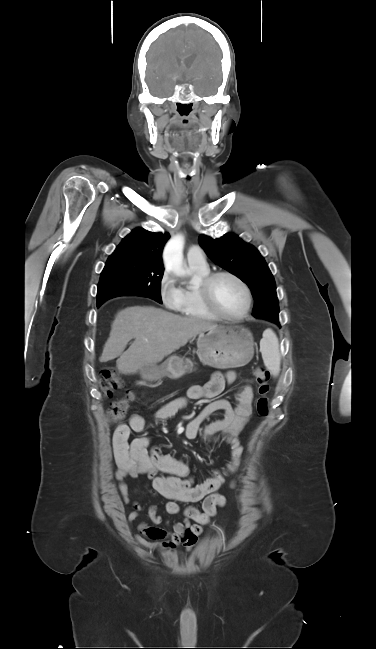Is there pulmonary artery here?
Segmentation results:
<instances>
[{
  "label": "pulmonary artery",
  "mask_w": 376,
  "mask_h": 649,
  "mask_svg": "<svg viewBox=\"0 0 376 649\" xmlns=\"http://www.w3.org/2000/svg\"><path fill=\"white\" fill-rule=\"evenodd\" d=\"M187 261L189 265L207 266L205 254L197 245H193L188 249Z\"/></svg>",
  "instance_id": "obj_1"
}]
</instances>
